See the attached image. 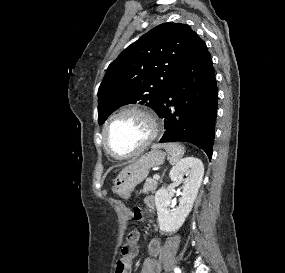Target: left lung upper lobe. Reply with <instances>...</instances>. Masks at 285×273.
I'll list each match as a JSON object with an SVG mask.
<instances>
[{
    "mask_svg": "<svg viewBox=\"0 0 285 273\" xmlns=\"http://www.w3.org/2000/svg\"><path fill=\"white\" fill-rule=\"evenodd\" d=\"M194 31L181 23H163L128 46L109 66L98 91V122L126 104L156 110L169 89Z\"/></svg>",
    "mask_w": 285,
    "mask_h": 273,
    "instance_id": "left-lung-upper-lobe-1",
    "label": "left lung upper lobe"
}]
</instances>
